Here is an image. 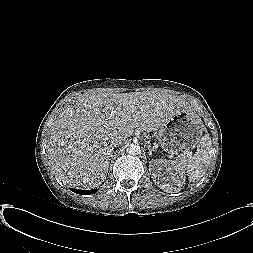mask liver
Returning <instances> with one entry per match:
<instances>
[{
  "mask_svg": "<svg viewBox=\"0 0 253 253\" xmlns=\"http://www.w3.org/2000/svg\"><path fill=\"white\" fill-rule=\"evenodd\" d=\"M191 111L183 99L167 93L104 89L83 94L50 129L49 163L65 184L97 187L108 171L113 138L124 142L136 128L157 131L174 115Z\"/></svg>",
  "mask_w": 253,
  "mask_h": 253,
  "instance_id": "6515ba94",
  "label": "liver"
}]
</instances>
